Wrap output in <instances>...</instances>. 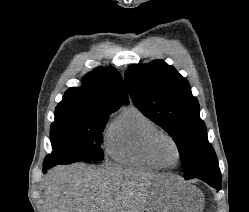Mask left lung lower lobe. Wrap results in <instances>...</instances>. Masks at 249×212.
<instances>
[{
	"instance_id": "0a47b994",
	"label": "left lung lower lobe",
	"mask_w": 249,
	"mask_h": 212,
	"mask_svg": "<svg viewBox=\"0 0 249 212\" xmlns=\"http://www.w3.org/2000/svg\"><path fill=\"white\" fill-rule=\"evenodd\" d=\"M196 178L206 182L208 185L215 188L217 191L221 189V181H222L221 174H209L204 176H198ZM185 179H191V178H185Z\"/></svg>"
}]
</instances>
